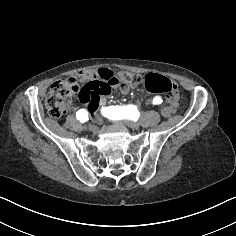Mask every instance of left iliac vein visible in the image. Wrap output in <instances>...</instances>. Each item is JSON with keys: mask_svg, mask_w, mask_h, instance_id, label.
I'll list each match as a JSON object with an SVG mask.
<instances>
[{"mask_svg": "<svg viewBox=\"0 0 236 236\" xmlns=\"http://www.w3.org/2000/svg\"><path fill=\"white\" fill-rule=\"evenodd\" d=\"M128 127H129L131 130H137V129L140 127V124H139L137 121H131V122L128 124Z\"/></svg>", "mask_w": 236, "mask_h": 236, "instance_id": "left-iliac-vein-1", "label": "left iliac vein"}]
</instances>
